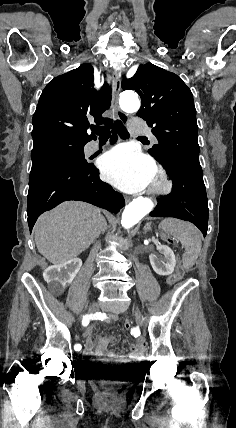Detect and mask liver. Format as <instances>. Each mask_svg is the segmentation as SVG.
Listing matches in <instances>:
<instances>
[{
    "label": "liver",
    "mask_w": 236,
    "mask_h": 428,
    "mask_svg": "<svg viewBox=\"0 0 236 428\" xmlns=\"http://www.w3.org/2000/svg\"><path fill=\"white\" fill-rule=\"evenodd\" d=\"M106 226L98 208L85 202H63L38 218L35 244L48 262L64 264L89 248Z\"/></svg>",
    "instance_id": "liver-1"
}]
</instances>
